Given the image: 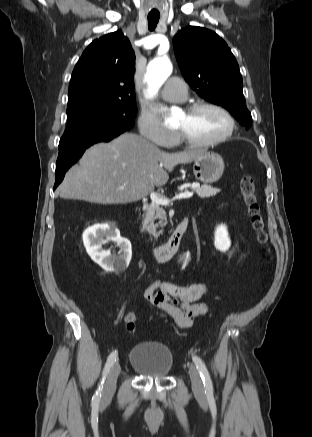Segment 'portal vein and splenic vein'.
<instances>
[{
  "label": "portal vein and splenic vein",
  "instance_id": "obj_1",
  "mask_svg": "<svg viewBox=\"0 0 312 437\" xmlns=\"http://www.w3.org/2000/svg\"><path fill=\"white\" fill-rule=\"evenodd\" d=\"M123 188L124 187H120V189H123ZM192 196H193L192 192H184V193H181V194L175 196L172 200L187 199V198H190ZM150 198H151L152 202L157 203V204L167 205L170 202L169 199H167L166 197H164V196H162V195H160L158 193H155V192H151Z\"/></svg>",
  "mask_w": 312,
  "mask_h": 437
}]
</instances>
